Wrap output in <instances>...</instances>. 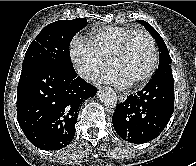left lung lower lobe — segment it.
Segmentation results:
<instances>
[{
    "label": "left lung lower lobe",
    "mask_w": 196,
    "mask_h": 166,
    "mask_svg": "<svg viewBox=\"0 0 196 166\" xmlns=\"http://www.w3.org/2000/svg\"><path fill=\"white\" fill-rule=\"evenodd\" d=\"M174 111V81L171 65L159 67L151 81L139 92L118 104L112 122L115 131L130 143L156 138Z\"/></svg>",
    "instance_id": "1"
}]
</instances>
